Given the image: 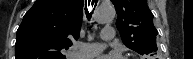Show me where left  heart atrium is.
<instances>
[{"label":"left heart atrium","instance_id":"obj_1","mask_svg":"<svg viewBox=\"0 0 193 59\" xmlns=\"http://www.w3.org/2000/svg\"><path fill=\"white\" fill-rule=\"evenodd\" d=\"M98 59H120L118 55L109 54V55H102Z\"/></svg>","mask_w":193,"mask_h":59}]
</instances>
